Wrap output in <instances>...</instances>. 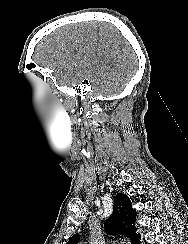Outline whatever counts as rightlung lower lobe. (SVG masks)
<instances>
[{
  "instance_id": "right-lung-lower-lobe-1",
  "label": "right lung lower lobe",
  "mask_w": 188,
  "mask_h": 244,
  "mask_svg": "<svg viewBox=\"0 0 188 244\" xmlns=\"http://www.w3.org/2000/svg\"><path fill=\"white\" fill-rule=\"evenodd\" d=\"M140 237L133 244H140Z\"/></svg>"
}]
</instances>
